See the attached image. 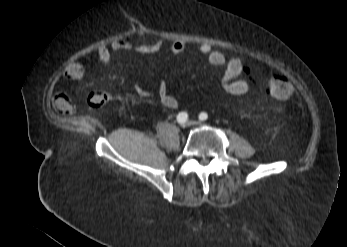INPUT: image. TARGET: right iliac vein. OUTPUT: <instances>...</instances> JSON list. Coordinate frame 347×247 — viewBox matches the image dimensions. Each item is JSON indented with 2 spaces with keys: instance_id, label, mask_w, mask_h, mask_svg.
Wrapping results in <instances>:
<instances>
[{
  "instance_id": "1",
  "label": "right iliac vein",
  "mask_w": 347,
  "mask_h": 247,
  "mask_svg": "<svg viewBox=\"0 0 347 247\" xmlns=\"http://www.w3.org/2000/svg\"><path fill=\"white\" fill-rule=\"evenodd\" d=\"M189 125H190L189 122H186V123H182L181 127L185 129V128H188Z\"/></svg>"
}]
</instances>
